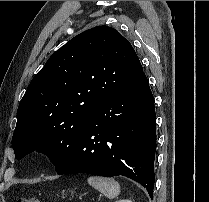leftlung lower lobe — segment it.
<instances>
[{
	"mask_svg": "<svg viewBox=\"0 0 209 202\" xmlns=\"http://www.w3.org/2000/svg\"><path fill=\"white\" fill-rule=\"evenodd\" d=\"M156 115L144 72L86 117L83 135L58 175L126 176L154 189Z\"/></svg>",
	"mask_w": 209,
	"mask_h": 202,
	"instance_id": "obj_1",
	"label": "left lung lower lobe"
}]
</instances>
